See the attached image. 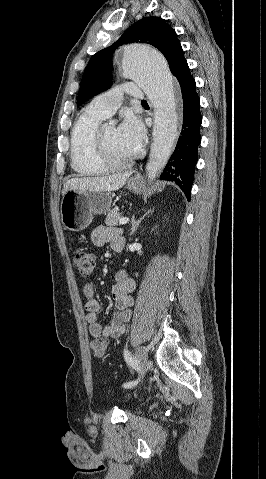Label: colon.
<instances>
[{
	"instance_id": "5ec220e1",
	"label": "colon",
	"mask_w": 266,
	"mask_h": 479,
	"mask_svg": "<svg viewBox=\"0 0 266 479\" xmlns=\"http://www.w3.org/2000/svg\"><path fill=\"white\" fill-rule=\"evenodd\" d=\"M72 261L78 273L83 277H88L92 274L95 267V256L79 247L72 251ZM94 355L98 358L104 357L107 349V339L104 337L96 338L91 344Z\"/></svg>"
}]
</instances>
